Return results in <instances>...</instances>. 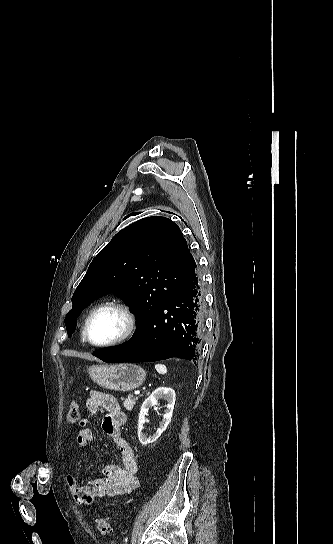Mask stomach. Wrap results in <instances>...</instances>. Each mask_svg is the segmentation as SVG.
<instances>
[{"mask_svg":"<svg viewBox=\"0 0 333 544\" xmlns=\"http://www.w3.org/2000/svg\"><path fill=\"white\" fill-rule=\"evenodd\" d=\"M88 373L99 386L114 391H131L141 386L146 378L145 370L131 363L93 365Z\"/></svg>","mask_w":333,"mask_h":544,"instance_id":"1","label":"stomach"}]
</instances>
